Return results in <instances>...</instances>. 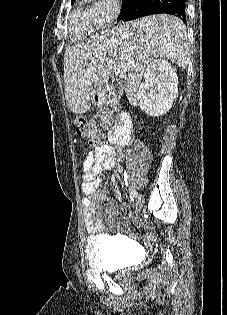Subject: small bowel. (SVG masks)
Listing matches in <instances>:
<instances>
[{
  "label": "small bowel",
  "mask_w": 227,
  "mask_h": 315,
  "mask_svg": "<svg viewBox=\"0 0 227 315\" xmlns=\"http://www.w3.org/2000/svg\"><path fill=\"white\" fill-rule=\"evenodd\" d=\"M117 159L115 150L110 145L104 144L91 149L82 163L81 188L85 195L82 200V208L85 229L89 234H98L102 229V222L99 218L100 202L106 203L103 213L107 217H113L117 213L114 201L106 195L98 193L99 174L112 169ZM124 212L134 222L141 223L140 218L128 206H124Z\"/></svg>",
  "instance_id": "1"
}]
</instances>
